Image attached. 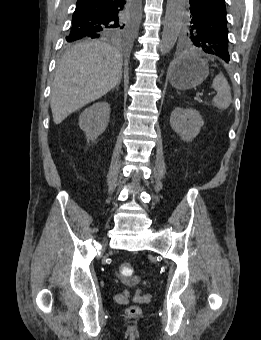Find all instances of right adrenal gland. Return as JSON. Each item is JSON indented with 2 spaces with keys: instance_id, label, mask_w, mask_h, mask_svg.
Listing matches in <instances>:
<instances>
[{
  "instance_id": "obj_1",
  "label": "right adrenal gland",
  "mask_w": 261,
  "mask_h": 340,
  "mask_svg": "<svg viewBox=\"0 0 261 340\" xmlns=\"http://www.w3.org/2000/svg\"><path fill=\"white\" fill-rule=\"evenodd\" d=\"M119 84H120V82H119V83L116 85V87H115V88H116V90H118Z\"/></svg>"
}]
</instances>
